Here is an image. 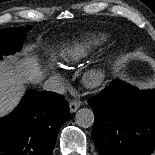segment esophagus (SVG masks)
I'll return each instance as SVG.
<instances>
[{
    "mask_svg": "<svg viewBox=\"0 0 155 155\" xmlns=\"http://www.w3.org/2000/svg\"><path fill=\"white\" fill-rule=\"evenodd\" d=\"M80 107V101H72L70 104H69V109H70V112L71 113H74L78 110V108Z\"/></svg>",
    "mask_w": 155,
    "mask_h": 155,
    "instance_id": "obj_1",
    "label": "esophagus"
}]
</instances>
